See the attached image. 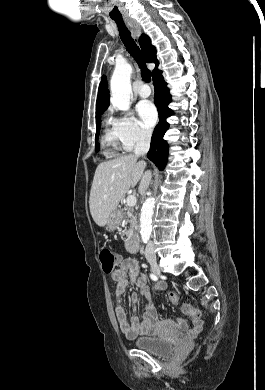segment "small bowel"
<instances>
[{
  "instance_id": "obj_1",
  "label": "small bowel",
  "mask_w": 265,
  "mask_h": 390,
  "mask_svg": "<svg viewBox=\"0 0 265 390\" xmlns=\"http://www.w3.org/2000/svg\"><path fill=\"white\" fill-rule=\"evenodd\" d=\"M116 258L118 268L112 272L111 276L117 283V306L115 308V317L120 330L127 338H134L139 335H156L160 321L154 306L147 304L142 312L141 318L136 312V304L140 297L142 296L146 299L150 298V290L146 283V277L140 273L138 261L134 258H123L121 255H117ZM130 283H134L140 289V292H133L131 294L130 300L133 306V314L129 319L121 305V297ZM165 288L166 285L164 282H159L156 285L157 290H164ZM177 325L181 329H186L187 327V323L183 319L178 320ZM202 328L203 321L194 318L192 327L188 330V334L190 336H195L201 332Z\"/></svg>"
}]
</instances>
